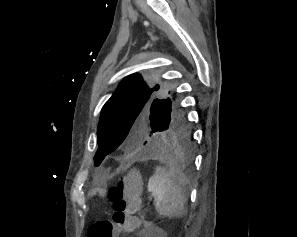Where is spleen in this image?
I'll list each match as a JSON object with an SVG mask.
<instances>
[{"label":"spleen","instance_id":"spleen-1","mask_svg":"<svg viewBox=\"0 0 297 237\" xmlns=\"http://www.w3.org/2000/svg\"><path fill=\"white\" fill-rule=\"evenodd\" d=\"M147 189L152 193L155 209L159 215L168 218H179L184 214L185 195L184 183L176 179L175 171L166 172L157 168L148 181Z\"/></svg>","mask_w":297,"mask_h":237}]
</instances>
